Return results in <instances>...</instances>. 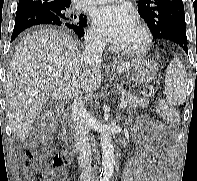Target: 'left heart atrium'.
I'll return each mask as SVG.
<instances>
[{"label": "left heart atrium", "mask_w": 197, "mask_h": 181, "mask_svg": "<svg viewBox=\"0 0 197 181\" xmlns=\"http://www.w3.org/2000/svg\"><path fill=\"white\" fill-rule=\"evenodd\" d=\"M92 21L110 40L119 42L134 25L130 11L123 6L106 5L95 9Z\"/></svg>", "instance_id": "39dd6f15"}]
</instances>
